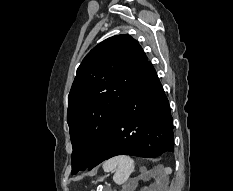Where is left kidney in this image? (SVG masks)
I'll use <instances>...</instances> for the list:
<instances>
[{
  "mask_svg": "<svg viewBox=\"0 0 233 191\" xmlns=\"http://www.w3.org/2000/svg\"><path fill=\"white\" fill-rule=\"evenodd\" d=\"M151 177H154L156 180H158L159 175L154 174V173L151 172V173H149L148 176H144V175H141V176H140V178H143V179H146V180H148V179L151 178ZM157 185H159V182H158V181H157V184H156V185H151L150 188L147 189V191H159V190H158L159 187H157Z\"/></svg>",
  "mask_w": 233,
  "mask_h": 191,
  "instance_id": "left-kidney-1",
  "label": "left kidney"
}]
</instances>
